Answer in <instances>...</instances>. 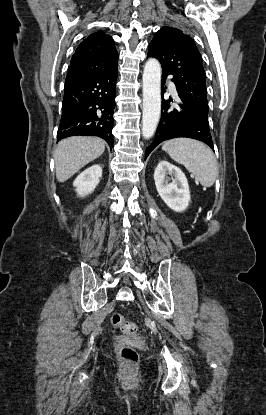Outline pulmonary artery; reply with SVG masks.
<instances>
[{"label":"pulmonary artery","instance_id":"obj_1","mask_svg":"<svg viewBox=\"0 0 266 415\" xmlns=\"http://www.w3.org/2000/svg\"><path fill=\"white\" fill-rule=\"evenodd\" d=\"M170 89L174 92L175 91V86L171 83L170 84Z\"/></svg>","mask_w":266,"mask_h":415}]
</instances>
